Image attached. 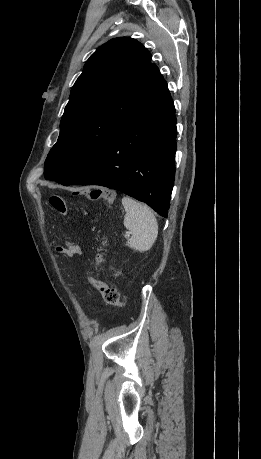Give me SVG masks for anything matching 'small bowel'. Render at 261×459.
I'll use <instances>...</instances> for the list:
<instances>
[{"mask_svg":"<svg viewBox=\"0 0 261 459\" xmlns=\"http://www.w3.org/2000/svg\"><path fill=\"white\" fill-rule=\"evenodd\" d=\"M66 252L69 255H74L80 252L79 248L75 245H69L68 248L66 249Z\"/></svg>","mask_w":261,"mask_h":459,"instance_id":"small-bowel-1","label":"small bowel"}]
</instances>
